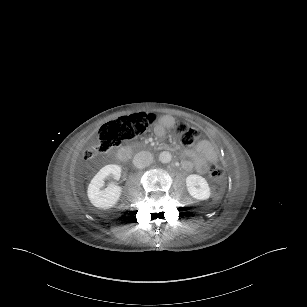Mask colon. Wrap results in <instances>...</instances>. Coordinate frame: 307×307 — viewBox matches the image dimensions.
<instances>
[{"instance_id": "colon-1", "label": "colon", "mask_w": 307, "mask_h": 307, "mask_svg": "<svg viewBox=\"0 0 307 307\" xmlns=\"http://www.w3.org/2000/svg\"><path fill=\"white\" fill-rule=\"evenodd\" d=\"M156 120L152 113H138L128 117L112 120L100 128L98 141L87 146L83 158L91 159L93 156L109 153L115 146L125 141L134 140L141 136ZM176 136L184 146L194 145L200 137L197 127L185 122H179L176 126ZM209 178L212 181H220L223 170L216 164L209 166Z\"/></svg>"}]
</instances>
